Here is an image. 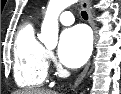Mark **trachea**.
I'll return each instance as SVG.
<instances>
[{
    "label": "trachea",
    "instance_id": "trachea-1",
    "mask_svg": "<svg viewBox=\"0 0 121 94\" xmlns=\"http://www.w3.org/2000/svg\"><path fill=\"white\" fill-rule=\"evenodd\" d=\"M81 16L83 19L87 20L88 19V14L85 11L81 12Z\"/></svg>",
    "mask_w": 121,
    "mask_h": 94
}]
</instances>
